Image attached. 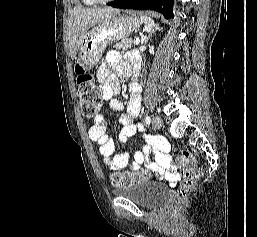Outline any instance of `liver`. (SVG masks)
Wrapping results in <instances>:
<instances>
[{
  "instance_id": "obj_1",
  "label": "liver",
  "mask_w": 257,
  "mask_h": 237,
  "mask_svg": "<svg viewBox=\"0 0 257 237\" xmlns=\"http://www.w3.org/2000/svg\"><path fill=\"white\" fill-rule=\"evenodd\" d=\"M117 12L118 10L113 8L74 7L70 15L68 30L70 57L72 60L76 57L80 44L88 30L109 19Z\"/></svg>"
}]
</instances>
